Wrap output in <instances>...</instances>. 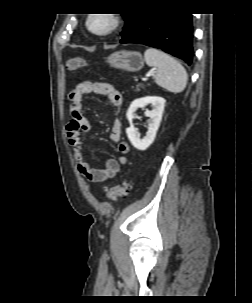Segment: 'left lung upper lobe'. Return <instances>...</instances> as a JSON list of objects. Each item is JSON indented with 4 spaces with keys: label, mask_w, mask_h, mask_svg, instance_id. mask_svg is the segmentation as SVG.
Wrapping results in <instances>:
<instances>
[{
    "label": "left lung upper lobe",
    "mask_w": 252,
    "mask_h": 303,
    "mask_svg": "<svg viewBox=\"0 0 252 303\" xmlns=\"http://www.w3.org/2000/svg\"><path fill=\"white\" fill-rule=\"evenodd\" d=\"M142 14H143L142 10H139V11H137L135 13H131V14H122V16L125 19V27H124V30L121 32L122 38H125L132 32V30L138 24Z\"/></svg>",
    "instance_id": "1"
}]
</instances>
